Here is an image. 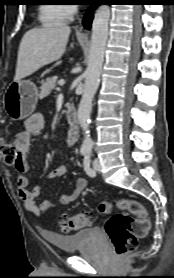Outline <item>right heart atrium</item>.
Instances as JSON below:
<instances>
[{"instance_id":"1","label":"right heart atrium","mask_w":174,"mask_h":278,"mask_svg":"<svg viewBox=\"0 0 174 278\" xmlns=\"http://www.w3.org/2000/svg\"><path fill=\"white\" fill-rule=\"evenodd\" d=\"M68 7V12L69 14L72 16L73 14H75L76 10H77V6L74 5V4H70V5H67Z\"/></svg>"}]
</instances>
